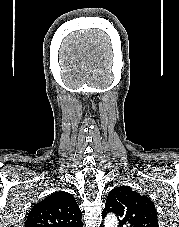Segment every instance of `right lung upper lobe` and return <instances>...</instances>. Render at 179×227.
Returning <instances> with one entry per match:
<instances>
[{
    "instance_id": "obj_1",
    "label": "right lung upper lobe",
    "mask_w": 179,
    "mask_h": 227,
    "mask_svg": "<svg viewBox=\"0 0 179 227\" xmlns=\"http://www.w3.org/2000/svg\"><path fill=\"white\" fill-rule=\"evenodd\" d=\"M81 218L73 195L55 192L33 206L25 227H83Z\"/></svg>"
}]
</instances>
